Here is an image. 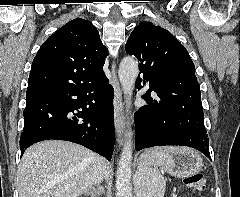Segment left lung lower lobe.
Listing matches in <instances>:
<instances>
[{
    "label": "left lung lower lobe",
    "instance_id": "0a47b994",
    "mask_svg": "<svg viewBox=\"0 0 240 197\" xmlns=\"http://www.w3.org/2000/svg\"><path fill=\"white\" fill-rule=\"evenodd\" d=\"M142 80L137 81L138 90ZM149 83L144 76L143 84ZM148 91L142 95L147 105L135 113L137 151L153 146H188L201 151L209 159V139L204 126L200 90L179 89L174 92L157 93L155 100Z\"/></svg>",
    "mask_w": 240,
    "mask_h": 197
}]
</instances>
